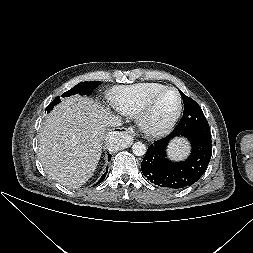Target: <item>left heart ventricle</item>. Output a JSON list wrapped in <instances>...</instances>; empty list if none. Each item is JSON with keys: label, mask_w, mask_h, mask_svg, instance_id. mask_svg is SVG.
I'll use <instances>...</instances> for the list:
<instances>
[{"label": "left heart ventricle", "mask_w": 253, "mask_h": 253, "mask_svg": "<svg viewBox=\"0 0 253 253\" xmlns=\"http://www.w3.org/2000/svg\"><path fill=\"white\" fill-rule=\"evenodd\" d=\"M178 98L174 91H166L155 101L148 120L151 125L159 126L167 122L175 113Z\"/></svg>", "instance_id": "left-heart-ventricle-1"}]
</instances>
